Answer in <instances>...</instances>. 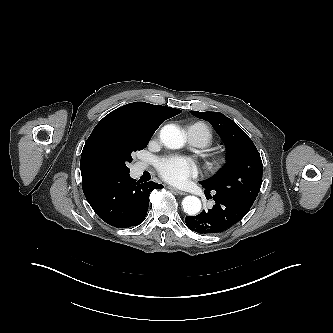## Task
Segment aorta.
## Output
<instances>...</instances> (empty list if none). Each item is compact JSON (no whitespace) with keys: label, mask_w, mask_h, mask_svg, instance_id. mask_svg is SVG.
<instances>
[{"label":"aorta","mask_w":333,"mask_h":333,"mask_svg":"<svg viewBox=\"0 0 333 333\" xmlns=\"http://www.w3.org/2000/svg\"><path fill=\"white\" fill-rule=\"evenodd\" d=\"M162 143L169 149H179L185 143V136L174 124L165 125L160 131ZM184 212L190 216L198 214L201 210V201L196 196H186L182 201Z\"/></svg>","instance_id":"1"}]
</instances>
